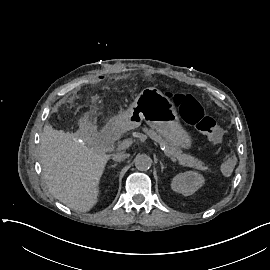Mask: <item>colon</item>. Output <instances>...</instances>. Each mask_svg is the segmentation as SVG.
<instances>
[{
  "mask_svg": "<svg viewBox=\"0 0 270 270\" xmlns=\"http://www.w3.org/2000/svg\"><path fill=\"white\" fill-rule=\"evenodd\" d=\"M166 96L172 100L174 107L179 110L185 122L206 135L212 144L217 146L222 144L223 131L212 117L204 114L200 103L193 95L167 91ZM233 170L234 162L232 160H225L222 164V171L224 173H231Z\"/></svg>",
  "mask_w": 270,
  "mask_h": 270,
  "instance_id": "1",
  "label": "colon"
}]
</instances>
